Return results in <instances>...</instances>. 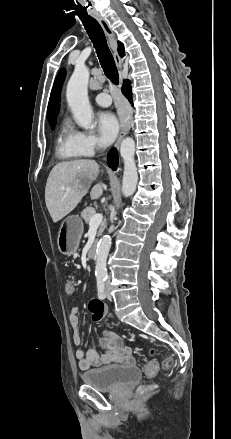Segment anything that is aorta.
Masks as SVG:
<instances>
[{
    "label": "aorta",
    "instance_id": "762f6f07",
    "mask_svg": "<svg viewBox=\"0 0 231 439\" xmlns=\"http://www.w3.org/2000/svg\"><path fill=\"white\" fill-rule=\"evenodd\" d=\"M89 69L86 66H76L67 84L66 97L75 121L79 126L90 129L93 112L88 100ZM120 154L124 161L122 193L125 197L131 196L137 186L138 173L134 159L135 142L132 138H125L120 146ZM112 239L109 235L103 236L96 249L95 275L97 278L107 277V257Z\"/></svg>",
    "mask_w": 231,
    "mask_h": 439
}]
</instances>
